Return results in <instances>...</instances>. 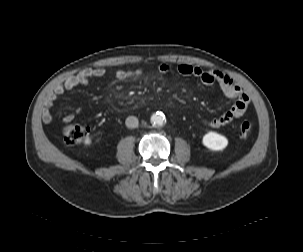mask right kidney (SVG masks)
<instances>
[{"instance_id":"obj_1","label":"right kidney","mask_w":303,"mask_h":252,"mask_svg":"<svg viewBox=\"0 0 303 252\" xmlns=\"http://www.w3.org/2000/svg\"><path fill=\"white\" fill-rule=\"evenodd\" d=\"M90 143H91V139H90V138H87V139L85 140V144H86V145H90Z\"/></svg>"}]
</instances>
